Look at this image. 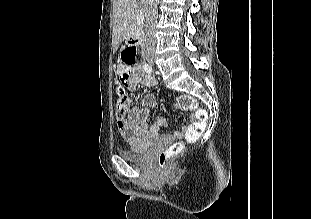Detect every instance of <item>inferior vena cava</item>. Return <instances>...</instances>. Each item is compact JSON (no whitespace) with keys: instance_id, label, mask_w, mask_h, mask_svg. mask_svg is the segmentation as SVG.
Wrapping results in <instances>:
<instances>
[{"instance_id":"obj_1","label":"inferior vena cava","mask_w":311,"mask_h":219,"mask_svg":"<svg viewBox=\"0 0 311 219\" xmlns=\"http://www.w3.org/2000/svg\"><path fill=\"white\" fill-rule=\"evenodd\" d=\"M145 15V35L142 50L153 51L155 49L154 30L157 22V7L154 0H142Z\"/></svg>"}]
</instances>
